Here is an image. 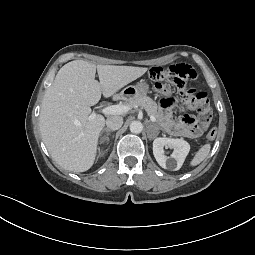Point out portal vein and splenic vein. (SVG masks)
I'll list each match as a JSON object with an SVG mask.
<instances>
[{"label": "portal vein and splenic vein", "instance_id": "18ae733b", "mask_svg": "<svg viewBox=\"0 0 255 255\" xmlns=\"http://www.w3.org/2000/svg\"><path fill=\"white\" fill-rule=\"evenodd\" d=\"M132 107L130 105L118 104L104 107L101 112L105 115H121L127 113ZM96 113L93 112L89 119H94L96 117ZM150 120L152 122H156V118L153 115H150Z\"/></svg>", "mask_w": 255, "mask_h": 255}]
</instances>
